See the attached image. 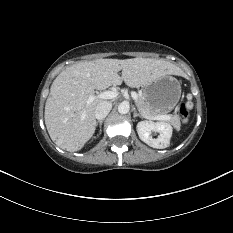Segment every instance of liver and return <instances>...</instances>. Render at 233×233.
Returning a JSON list of instances; mask_svg holds the SVG:
<instances>
[{"label": "liver", "instance_id": "6515ba94", "mask_svg": "<svg viewBox=\"0 0 233 233\" xmlns=\"http://www.w3.org/2000/svg\"><path fill=\"white\" fill-rule=\"evenodd\" d=\"M181 72L168 61L151 58L97 59L69 66L53 81L46 100L44 117L48 133L58 147L78 151L95 132V108L103 101L95 99L87 104L95 89L104 90L123 81L129 87H144L163 76Z\"/></svg>", "mask_w": 233, "mask_h": 233}]
</instances>
